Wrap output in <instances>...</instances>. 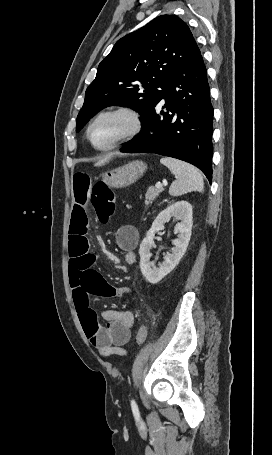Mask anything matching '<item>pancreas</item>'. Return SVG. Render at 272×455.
Wrapping results in <instances>:
<instances>
[{
    "instance_id": "1",
    "label": "pancreas",
    "mask_w": 272,
    "mask_h": 455,
    "mask_svg": "<svg viewBox=\"0 0 272 455\" xmlns=\"http://www.w3.org/2000/svg\"><path fill=\"white\" fill-rule=\"evenodd\" d=\"M162 190V188H149L145 194V204H151L158 197L159 193L162 192Z\"/></svg>"
}]
</instances>
